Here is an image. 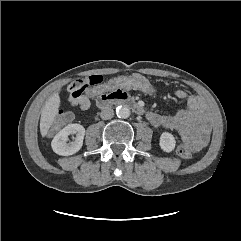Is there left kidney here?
Returning <instances> with one entry per match:
<instances>
[{
	"label": "left kidney",
	"instance_id": "obj_1",
	"mask_svg": "<svg viewBox=\"0 0 241 241\" xmlns=\"http://www.w3.org/2000/svg\"><path fill=\"white\" fill-rule=\"evenodd\" d=\"M159 145L165 152L173 151L176 145L174 136L169 132H163L160 136Z\"/></svg>",
	"mask_w": 241,
	"mask_h": 241
}]
</instances>
